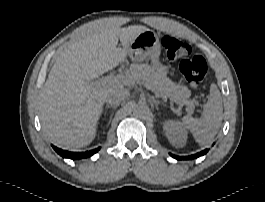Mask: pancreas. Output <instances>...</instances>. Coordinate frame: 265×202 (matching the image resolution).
Listing matches in <instances>:
<instances>
[{"instance_id":"1","label":"pancreas","mask_w":265,"mask_h":202,"mask_svg":"<svg viewBox=\"0 0 265 202\" xmlns=\"http://www.w3.org/2000/svg\"><path fill=\"white\" fill-rule=\"evenodd\" d=\"M129 77L136 82L146 83L155 93L169 97L177 103L186 105L192 102L187 100L191 95V91L186 86L176 85L163 73L155 70L148 64L132 65ZM189 109L192 112L194 106H189Z\"/></svg>"}]
</instances>
